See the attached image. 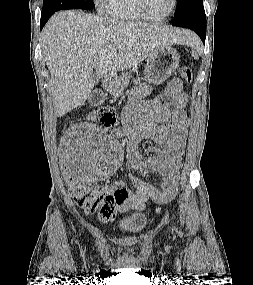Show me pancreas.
Masks as SVG:
<instances>
[{"label":"pancreas","mask_w":253,"mask_h":285,"mask_svg":"<svg viewBox=\"0 0 253 285\" xmlns=\"http://www.w3.org/2000/svg\"><path fill=\"white\" fill-rule=\"evenodd\" d=\"M131 77H132L131 72H126L112 79L111 85L113 87L112 89L113 94L116 95L121 94L123 89L128 86Z\"/></svg>","instance_id":"cf45deb5"}]
</instances>
